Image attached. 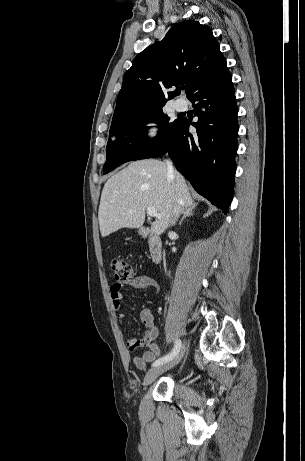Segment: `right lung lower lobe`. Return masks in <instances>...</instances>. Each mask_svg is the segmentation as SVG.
I'll return each mask as SVG.
<instances>
[{
    "instance_id": "obj_1",
    "label": "right lung lower lobe",
    "mask_w": 305,
    "mask_h": 461,
    "mask_svg": "<svg viewBox=\"0 0 305 461\" xmlns=\"http://www.w3.org/2000/svg\"><path fill=\"white\" fill-rule=\"evenodd\" d=\"M228 72L191 99L198 121L181 118L166 143L148 158L168 153L177 170L199 194L226 214L233 198L237 151V105Z\"/></svg>"
}]
</instances>
